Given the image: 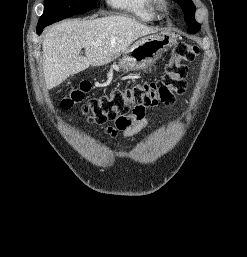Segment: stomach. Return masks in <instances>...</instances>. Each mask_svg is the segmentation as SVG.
I'll list each match as a JSON object with an SVG mask.
<instances>
[{
  "mask_svg": "<svg viewBox=\"0 0 247 257\" xmlns=\"http://www.w3.org/2000/svg\"><path fill=\"white\" fill-rule=\"evenodd\" d=\"M175 43L176 37L171 33L143 37L122 53L118 65L124 71L142 69L161 57Z\"/></svg>",
  "mask_w": 247,
  "mask_h": 257,
  "instance_id": "stomach-1",
  "label": "stomach"
}]
</instances>
